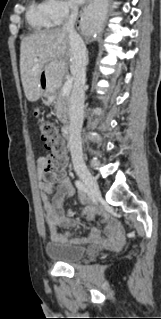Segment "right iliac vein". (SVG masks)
<instances>
[{
	"instance_id": "1",
	"label": "right iliac vein",
	"mask_w": 161,
	"mask_h": 319,
	"mask_svg": "<svg viewBox=\"0 0 161 319\" xmlns=\"http://www.w3.org/2000/svg\"><path fill=\"white\" fill-rule=\"evenodd\" d=\"M78 176L85 182L91 193L97 195L99 193L98 183L95 177L86 169L77 170Z\"/></svg>"
}]
</instances>
